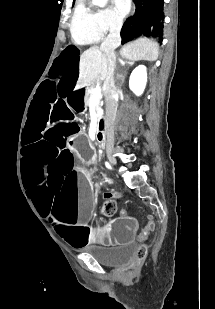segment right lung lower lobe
<instances>
[{
  "label": "right lung lower lobe",
  "mask_w": 215,
  "mask_h": 309,
  "mask_svg": "<svg viewBox=\"0 0 215 309\" xmlns=\"http://www.w3.org/2000/svg\"><path fill=\"white\" fill-rule=\"evenodd\" d=\"M135 13L126 20L122 29V43L138 35H146L162 41L164 0H134Z\"/></svg>",
  "instance_id": "1"
}]
</instances>
